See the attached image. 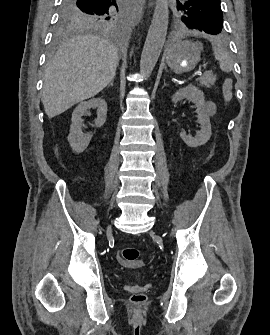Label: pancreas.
<instances>
[{"mask_svg": "<svg viewBox=\"0 0 270 335\" xmlns=\"http://www.w3.org/2000/svg\"><path fill=\"white\" fill-rule=\"evenodd\" d=\"M217 78L212 74V72H205L201 78H198L197 82H200V86H206V88H211L214 86V82H216Z\"/></svg>", "mask_w": 270, "mask_h": 335, "instance_id": "1", "label": "pancreas"}]
</instances>
